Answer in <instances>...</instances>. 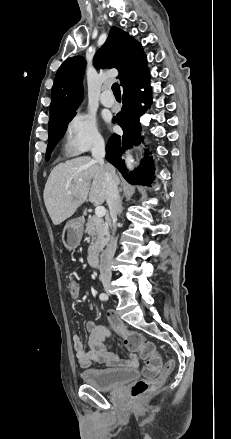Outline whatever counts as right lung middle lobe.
<instances>
[{"mask_svg": "<svg viewBox=\"0 0 231 439\" xmlns=\"http://www.w3.org/2000/svg\"><path fill=\"white\" fill-rule=\"evenodd\" d=\"M73 117H70L68 119H65L64 121L60 122L59 124L52 126L49 128V138H48V146H47V152L45 159L48 160L50 158V154L54 148V146L57 144L58 140L62 138L64 135L68 123L71 121Z\"/></svg>", "mask_w": 231, "mask_h": 439, "instance_id": "right-lung-middle-lobe-1", "label": "right lung middle lobe"}]
</instances>
